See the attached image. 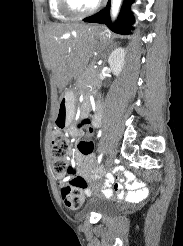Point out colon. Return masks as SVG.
<instances>
[{"instance_id":"5ec220e1","label":"colon","mask_w":183,"mask_h":246,"mask_svg":"<svg viewBox=\"0 0 183 246\" xmlns=\"http://www.w3.org/2000/svg\"><path fill=\"white\" fill-rule=\"evenodd\" d=\"M65 123V113L58 116V129L53 132L51 155L53 160V169L59 178L60 195L64 205L69 209H78L83 203V192L90 188L87 180L76 173L75 168L69 161V146L67 140L60 130ZM86 127L84 139L77 143V151L84 157H96L94 151V142L97 131L95 125H89L87 119L80 124Z\"/></svg>"}]
</instances>
